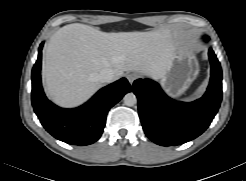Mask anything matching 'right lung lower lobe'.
I'll return each instance as SVG.
<instances>
[{
  "label": "right lung lower lobe",
  "instance_id": "right-lung-lower-lobe-1",
  "mask_svg": "<svg viewBox=\"0 0 246 181\" xmlns=\"http://www.w3.org/2000/svg\"><path fill=\"white\" fill-rule=\"evenodd\" d=\"M32 70V105L43 127L56 139L72 145H89L102 135L106 115L130 91L122 78L99 90L87 103L75 109H62L50 102L42 89L40 69L42 46Z\"/></svg>",
  "mask_w": 246,
  "mask_h": 181
}]
</instances>
